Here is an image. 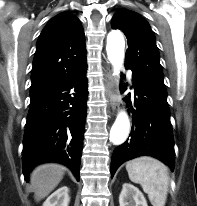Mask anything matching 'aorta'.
Here are the masks:
<instances>
[{"label": "aorta", "instance_id": "aorta-1", "mask_svg": "<svg viewBox=\"0 0 197 206\" xmlns=\"http://www.w3.org/2000/svg\"><path fill=\"white\" fill-rule=\"evenodd\" d=\"M125 41L119 31H111L107 36V56L114 68V75L120 74V69L124 61ZM130 122L125 111H120L111 130L110 141L115 145L122 144L128 137Z\"/></svg>", "mask_w": 197, "mask_h": 206}]
</instances>
